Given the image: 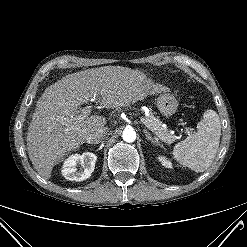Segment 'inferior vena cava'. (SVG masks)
Returning <instances> with one entry per match:
<instances>
[{
	"instance_id": "602c4592",
	"label": "inferior vena cava",
	"mask_w": 247,
	"mask_h": 247,
	"mask_svg": "<svg viewBox=\"0 0 247 247\" xmlns=\"http://www.w3.org/2000/svg\"><path fill=\"white\" fill-rule=\"evenodd\" d=\"M106 134L107 130L104 127H101L89 134V136L86 138V141L89 144H98L105 139Z\"/></svg>"
}]
</instances>
